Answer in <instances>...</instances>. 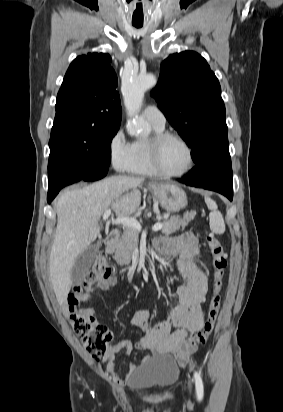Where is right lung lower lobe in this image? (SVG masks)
I'll list each match as a JSON object with an SVG mask.
<instances>
[{"label": "right lung lower lobe", "mask_w": 283, "mask_h": 412, "mask_svg": "<svg viewBox=\"0 0 283 412\" xmlns=\"http://www.w3.org/2000/svg\"><path fill=\"white\" fill-rule=\"evenodd\" d=\"M109 164H93L77 169L58 170L48 177L49 189L47 201L55 198L61 188L78 182L80 180L93 181L104 177L107 174Z\"/></svg>", "instance_id": "1"}]
</instances>
